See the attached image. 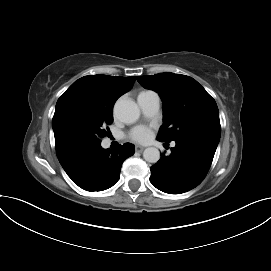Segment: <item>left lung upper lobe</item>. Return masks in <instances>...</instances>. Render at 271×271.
<instances>
[{"mask_svg": "<svg viewBox=\"0 0 271 271\" xmlns=\"http://www.w3.org/2000/svg\"><path fill=\"white\" fill-rule=\"evenodd\" d=\"M137 81L156 91L162 99L164 124L158 139L170 142L191 136L219 142L217 104L196 80L181 74L160 73L139 76Z\"/></svg>", "mask_w": 271, "mask_h": 271, "instance_id": "1", "label": "left lung upper lobe"}]
</instances>
